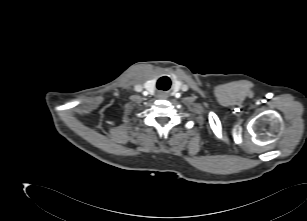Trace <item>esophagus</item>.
<instances>
[{
    "mask_svg": "<svg viewBox=\"0 0 307 221\" xmlns=\"http://www.w3.org/2000/svg\"><path fill=\"white\" fill-rule=\"evenodd\" d=\"M158 96H165V94L164 93H159Z\"/></svg>",
    "mask_w": 307,
    "mask_h": 221,
    "instance_id": "34e87169",
    "label": "esophagus"
}]
</instances>
